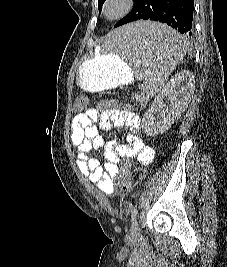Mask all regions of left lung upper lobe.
Wrapping results in <instances>:
<instances>
[{"label":"left lung upper lobe","instance_id":"left-lung-upper-lobe-1","mask_svg":"<svg viewBox=\"0 0 227 267\" xmlns=\"http://www.w3.org/2000/svg\"><path fill=\"white\" fill-rule=\"evenodd\" d=\"M104 2H105V0H98L99 11H101V6L103 5Z\"/></svg>","mask_w":227,"mask_h":267}]
</instances>
